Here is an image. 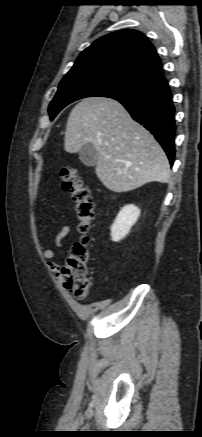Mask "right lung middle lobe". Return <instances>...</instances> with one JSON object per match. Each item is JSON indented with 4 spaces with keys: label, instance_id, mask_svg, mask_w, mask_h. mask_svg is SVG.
<instances>
[{
    "label": "right lung middle lobe",
    "instance_id": "1",
    "mask_svg": "<svg viewBox=\"0 0 202 437\" xmlns=\"http://www.w3.org/2000/svg\"><path fill=\"white\" fill-rule=\"evenodd\" d=\"M152 83L128 75L102 70H81L68 72L59 84L58 91L49 105L50 119L65 106L85 97L101 96L115 98L135 95Z\"/></svg>",
    "mask_w": 202,
    "mask_h": 437
}]
</instances>
